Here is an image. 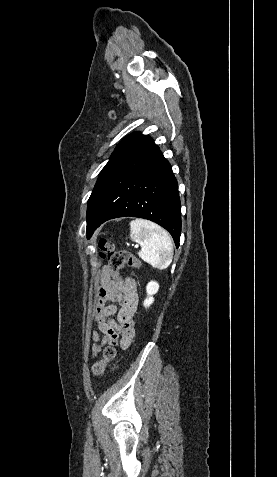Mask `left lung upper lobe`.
<instances>
[{"label": "left lung upper lobe", "instance_id": "obj_1", "mask_svg": "<svg viewBox=\"0 0 277 477\" xmlns=\"http://www.w3.org/2000/svg\"><path fill=\"white\" fill-rule=\"evenodd\" d=\"M152 138L148 135H142L139 132L133 133L125 137L116 147L113 154L111 155L108 163L102 169L99 174L97 183L92 191V194L88 200L87 207V221L91 218L97 200L101 191L103 190L106 182L111 177V175L137 150H139L146 143L151 141Z\"/></svg>", "mask_w": 277, "mask_h": 477}]
</instances>
